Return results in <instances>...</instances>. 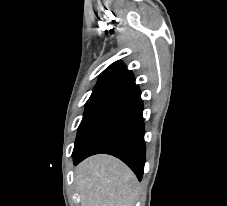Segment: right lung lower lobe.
<instances>
[{"mask_svg": "<svg viewBox=\"0 0 227 206\" xmlns=\"http://www.w3.org/2000/svg\"><path fill=\"white\" fill-rule=\"evenodd\" d=\"M143 102L135 83L97 120L94 127L73 152L77 165L99 153L113 155L126 163L140 181L145 164Z\"/></svg>", "mask_w": 227, "mask_h": 206, "instance_id": "right-lung-lower-lobe-1", "label": "right lung lower lobe"}]
</instances>
